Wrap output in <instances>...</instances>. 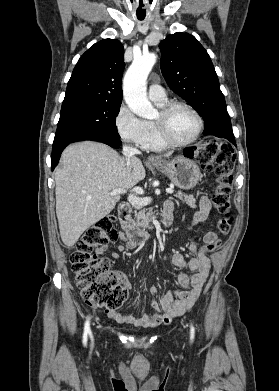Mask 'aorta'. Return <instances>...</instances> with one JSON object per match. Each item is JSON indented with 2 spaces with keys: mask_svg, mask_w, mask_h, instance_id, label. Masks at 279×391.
Instances as JSON below:
<instances>
[{
  "mask_svg": "<svg viewBox=\"0 0 279 391\" xmlns=\"http://www.w3.org/2000/svg\"><path fill=\"white\" fill-rule=\"evenodd\" d=\"M156 63L154 53L135 57L123 80V96L130 110L143 118H150L154 108L147 98L146 80Z\"/></svg>",
  "mask_w": 279,
  "mask_h": 391,
  "instance_id": "aorta-1",
  "label": "aorta"
}]
</instances>
